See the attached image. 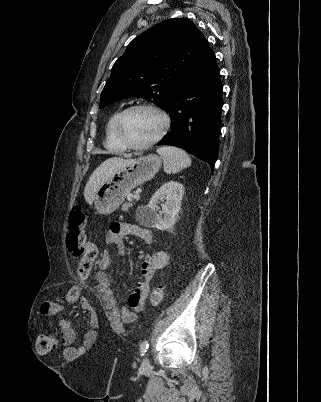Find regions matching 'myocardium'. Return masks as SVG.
I'll return each instance as SVG.
<instances>
[{"instance_id": "obj_1", "label": "myocardium", "mask_w": 321, "mask_h": 402, "mask_svg": "<svg viewBox=\"0 0 321 402\" xmlns=\"http://www.w3.org/2000/svg\"><path fill=\"white\" fill-rule=\"evenodd\" d=\"M140 109L150 110V111L157 113L160 116V118L162 119V127H161L160 132L150 141L143 143V144H134V143H131L130 141H128L126 139V137L124 136V134L122 132V125H123V121L127 114H129L130 112H132L134 110H140ZM169 128H170V118H169L168 114L160 107L153 105V104H148V103H139V104H134V105L126 107L119 113V115L116 119V122H115V133H116V136H117L118 140L120 141V143L123 145V147L125 149H130V150H135V151L146 150V149L152 147L153 145H155L156 143H158L165 136V134L167 133Z\"/></svg>"}]
</instances>
